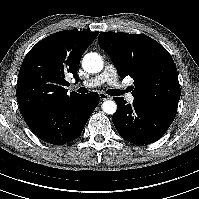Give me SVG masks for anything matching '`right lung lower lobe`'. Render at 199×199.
<instances>
[{"instance_id":"obj_1","label":"right lung lower lobe","mask_w":199,"mask_h":199,"mask_svg":"<svg viewBox=\"0 0 199 199\" xmlns=\"http://www.w3.org/2000/svg\"><path fill=\"white\" fill-rule=\"evenodd\" d=\"M99 103V95L90 92L26 118V123L41 140L55 145L69 143L80 136Z\"/></svg>"}]
</instances>
